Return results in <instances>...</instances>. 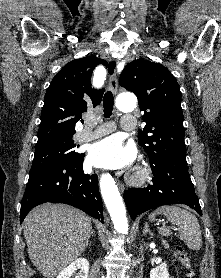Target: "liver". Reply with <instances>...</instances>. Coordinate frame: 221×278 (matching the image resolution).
Here are the masks:
<instances>
[{"mask_svg": "<svg viewBox=\"0 0 221 278\" xmlns=\"http://www.w3.org/2000/svg\"><path fill=\"white\" fill-rule=\"evenodd\" d=\"M92 231L89 216L63 204L39 205L24 220L29 258L46 278H54L84 252Z\"/></svg>", "mask_w": 221, "mask_h": 278, "instance_id": "1", "label": "liver"}]
</instances>
